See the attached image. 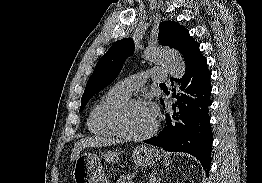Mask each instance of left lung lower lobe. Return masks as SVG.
I'll use <instances>...</instances> for the list:
<instances>
[{
  "instance_id": "1",
  "label": "left lung lower lobe",
  "mask_w": 262,
  "mask_h": 183,
  "mask_svg": "<svg viewBox=\"0 0 262 183\" xmlns=\"http://www.w3.org/2000/svg\"><path fill=\"white\" fill-rule=\"evenodd\" d=\"M185 75L181 79L171 78L177 82L172 97L174 113L166 114L163 130L145 143L162 147L166 151L186 152L195 156L209 174L213 135L208 114L211 106V72L207 68V59L200 50L185 60ZM161 103L164 105V101Z\"/></svg>"
}]
</instances>
